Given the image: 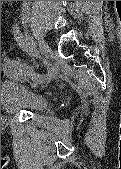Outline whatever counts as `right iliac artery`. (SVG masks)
I'll return each mask as SVG.
<instances>
[{
    "mask_svg": "<svg viewBox=\"0 0 121 169\" xmlns=\"http://www.w3.org/2000/svg\"><path fill=\"white\" fill-rule=\"evenodd\" d=\"M13 29H14V31H13L14 37H15L16 41L19 43V45L22 46V48H24V50L27 53H29L33 56H36V57H40L39 52H38L33 40L29 36L24 35L20 31V29L17 25H15ZM49 72H50V69L48 70V73H46V74H34L32 79L39 81V82H45L48 79Z\"/></svg>",
    "mask_w": 121,
    "mask_h": 169,
    "instance_id": "obj_1",
    "label": "right iliac artery"
}]
</instances>
